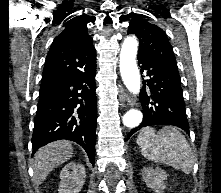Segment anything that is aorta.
<instances>
[{"mask_svg": "<svg viewBox=\"0 0 221 193\" xmlns=\"http://www.w3.org/2000/svg\"><path fill=\"white\" fill-rule=\"evenodd\" d=\"M138 41L135 37L125 38L120 52V72L127 89L138 94L140 91V74L136 64ZM143 115L139 110H129L123 116V124L128 128L137 127L142 121Z\"/></svg>", "mask_w": 221, "mask_h": 193, "instance_id": "aorta-1", "label": "aorta"}]
</instances>
